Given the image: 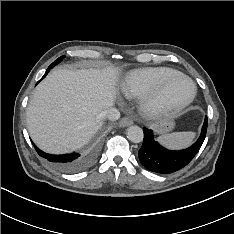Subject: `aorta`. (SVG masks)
<instances>
[{"label": "aorta", "mask_w": 234, "mask_h": 234, "mask_svg": "<svg viewBox=\"0 0 234 234\" xmlns=\"http://www.w3.org/2000/svg\"><path fill=\"white\" fill-rule=\"evenodd\" d=\"M127 138L133 143H140L143 141V130L136 125L130 126L126 131Z\"/></svg>", "instance_id": "aorta-1"}]
</instances>
